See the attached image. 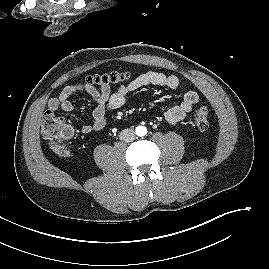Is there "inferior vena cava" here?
Wrapping results in <instances>:
<instances>
[{
	"instance_id": "obj_1",
	"label": "inferior vena cava",
	"mask_w": 269,
	"mask_h": 269,
	"mask_svg": "<svg viewBox=\"0 0 269 269\" xmlns=\"http://www.w3.org/2000/svg\"><path fill=\"white\" fill-rule=\"evenodd\" d=\"M119 137L125 142H132L135 139V132L132 129H124Z\"/></svg>"
}]
</instances>
